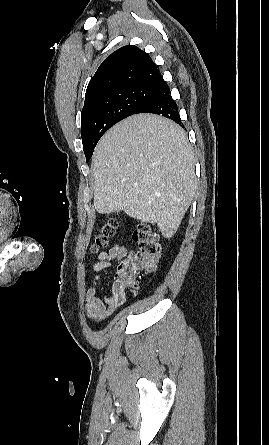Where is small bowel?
Segmentation results:
<instances>
[{
    "instance_id": "small-bowel-1",
    "label": "small bowel",
    "mask_w": 269,
    "mask_h": 445,
    "mask_svg": "<svg viewBox=\"0 0 269 445\" xmlns=\"http://www.w3.org/2000/svg\"><path fill=\"white\" fill-rule=\"evenodd\" d=\"M128 254L124 245L116 244L108 251L100 252L97 262L93 265L94 276L86 293V316L93 322H102L124 302L125 292L115 288L109 294L98 295V287L102 278L108 273L113 261L123 260Z\"/></svg>"
}]
</instances>
